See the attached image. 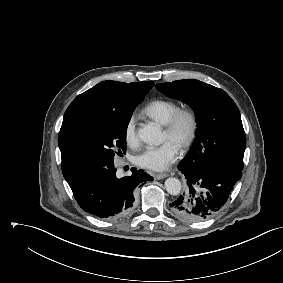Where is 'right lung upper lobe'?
Segmentation results:
<instances>
[{"label":"right lung upper lobe","instance_id":"obj_1","mask_svg":"<svg viewBox=\"0 0 283 283\" xmlns=\"http://www.w3.org/2000/svg\"><path fill=\"white\" fill-rule=\"evenodd\" d=\"M153 86L152 81L129 84L117 81H103L78 95L69 105L64 118L77 109L105 110L126 107L144 99ZM61 166L64 178L67 181L86 171L84 168L71 166L63 160Z\"/></svg>","mask_w":283,"mask_h":283}]
</instances>
